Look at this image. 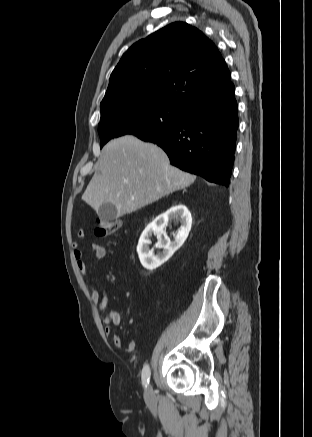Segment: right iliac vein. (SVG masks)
I'll use <instances>...</instances> for the list:
<instances>
[{
	"label": "right iliac vein",
	"mask_w": 312,
	"mask_h": 437,
	"mask_svg": "<svg viewBox=\"0 0 312 437\" xmlns=\"http://www.w3.org/2000/svg\"><path fill=\"white\" fill-rule=\"evenodd\" d=\"M144 396H145V399H146L147 402H152L153 401L154 395H153L151 386L146 388Z\"/></svg>",
	"instance_id": "63e3f726"
}]
</instances>
